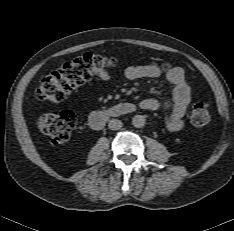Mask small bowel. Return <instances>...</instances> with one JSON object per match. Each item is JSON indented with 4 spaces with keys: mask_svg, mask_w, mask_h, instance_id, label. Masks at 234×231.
<instances>
[{
    "mask_svg": "<svg viewBox=\"0 0 234 231\" xmlns=\"http://www.w3.org/2000/svg\"><path fill=\"white\" fill-rule=\"evenodd\" d=\"M161 70L153 64L129 66L125 70V76L129 80L141 78H157ZM168 81L173 85V101H160L153 98L144 99L139 107L144 110L168 109L170 114L165 120L170 132H178L183 128V117L191 102V90L185 78V72L181 67H172L166 74ZM100 78L104 81L110 79L107 73Z\"/></svg>",
    "mask_w": 234,
    "mask_h": 231,
    "instance_id": "obj_1",
    "label": "small bowel"
}]
</instances>
